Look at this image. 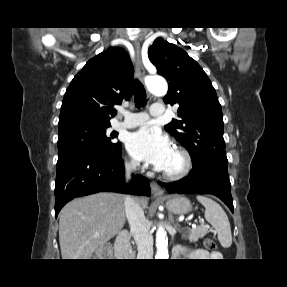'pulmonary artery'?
<instances>
[{
  "label": "pulmonary artery",
  "instance_id": "pulmonary-artery-1",
  "mask_svg": "<svg viewBox=\"0 0 287 287\" xmlns=\"http://www.w3.org/2000/svg\"><path fill=\"white\" fill-rule=\"evenodd\" d=\"M164 114V107L162 104L155 103L150 107V112L132 113L125 115V119L118 123L122 128H135L144 124L151 116H162Z\"/></svg>",
  "mask_w": 287,
  "mask_h": 287
}]
</instances>
